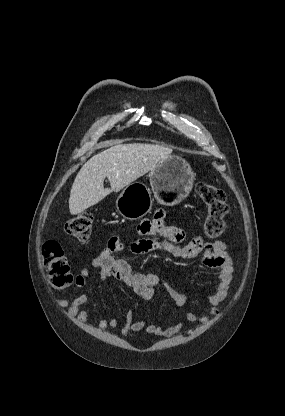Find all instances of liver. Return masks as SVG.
<instances>
[{
    "mask_svg": "<svg viewBox=\"0 0 285 416\" xmlns=\"http://www.w3.org/2000/svg\"><path fill=\"white\" fill-rule=\"evenodd\" d=\"M97 148L108 150L92 156L77 174L69 198V212L72 216L95 206L111 192H120L172 154L171 148L154 144L102 142ZM105 178H108L111 188H104Z\"/></svg>",
    "mask_w": 285,
    "mask_h": 416,
    "instance_id": "6515ba94",
    "label": "liver"
}]
</instances>
